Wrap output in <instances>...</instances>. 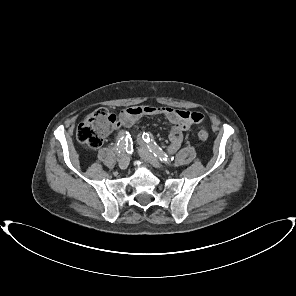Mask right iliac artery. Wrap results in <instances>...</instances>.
Listing matches in <instances>:
<instances>
[{"instance_id":"obj_1","label":"right iliac artery","mask_w":296,"mask_h":296,"mask_svg":"<svg viewBox=\"0 0 296 296\" xmlns=\"http://www.w3.org/2000/svg\"><path fill=\"white\" fill-rule=\"evenodd\" d=\"M125 135H126V132H121L119 134V138H118V142H117L118 153H122L125 151V148H126Z\"/></svg>"}]
</instances>
